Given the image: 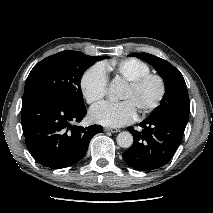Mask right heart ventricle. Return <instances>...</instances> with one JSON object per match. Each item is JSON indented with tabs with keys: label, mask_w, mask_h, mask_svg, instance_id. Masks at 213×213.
Masks as SVG:
<instances>
[{
	"label": "right heart ventricle",
	"mask_w": 213,
	"mask_h": 213,
	"mask_svg": "<svg viewBox=\"0 0 213 213\" xmlns=\"http://www.w3.org/2000/svg\"><path fill=\"white\" fill-rule=\"evenodd\" d=\"M103 67L105 71L113 70L117 76L128 82L150 73V67L136 58H126L111 64H104Z\"/></svg>",
	"instance_id": "obj_1"
}]
</instances>
